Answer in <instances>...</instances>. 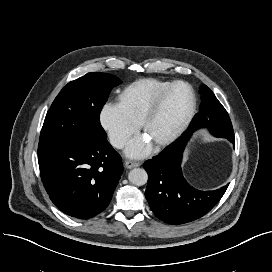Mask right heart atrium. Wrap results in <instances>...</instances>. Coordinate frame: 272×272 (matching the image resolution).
<instances>
[{
  "label": "right heart atrium",
  "mask_w": 272,
  "mask_h": 272,
  "mask_svg": "<svg viewBox=\"0 0 272 272\" xmlns=\"http://www.w3.org/2000/svg\"><path fill=\"white\" fill-rule=\"evenodd\" d=\"M99 123L115 148H122L138 130V125L126 115L118 103L107 102L102 105Z\"/></svg>",
  "instance_id": "d8ad5b80"
}]
</instances>
